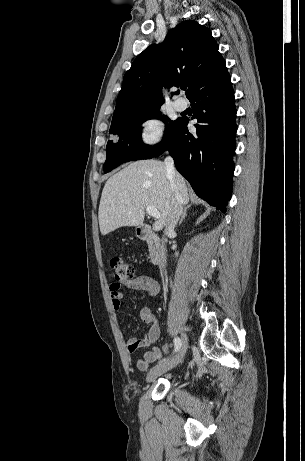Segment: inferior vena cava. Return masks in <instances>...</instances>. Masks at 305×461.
<instances>
[{
	"mask_svg": "<svg viewBox=\"0 0 305 461\" xmlns=\"http://www.w3.org/2000/svg\"><path fill=\"white\" fill-rule=\"evenodd\" d=\"M166 171H167V176L170 180V185L171 188L174 192V196L172 197L171 200V209L168 213L167 220H166V226H165V235H168L169 233L174 231V228L176 227L178 220L180 218V215L183 211V200L182 197L179 193L178 190V185L176 182V172L174 168V161L172 157L168 156L165 158L164 161ZM164 238L162 239V245L160 248V262L159 266L161 269V272L164 271V268L166 267V259H167V250L164 244Z\"/></svg>",
	"mask_w": 305,
	"mask_h": 461,
	"instance_id": "inferior-vena-cava-1",
	"label": "inferior vena cava"
}]
</instances>
